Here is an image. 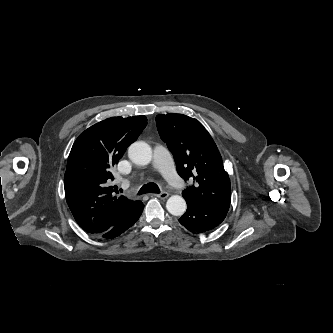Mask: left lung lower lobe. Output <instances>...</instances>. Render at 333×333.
I'll return each instance as SVG.
<instances>
[{
    "instance_id": "left-lung-lower-lobe-1",
    "label": "left lung lower lobe",
    "mask_w": 333,
    "mask_h": 333,
    "mask_svg": "<svg viewBox=\"0 0 333 333\" xmlns=\"http://www.w3.org/2000/svg\"><path fill=\"white\" fill-rule=\"evenodd\" d=\"M184 199L188 207L179 222L191 233L199 234L212 230L222 223L226 217V211L201 206L191 198Z\"/></svg>"
}]
</instances>
